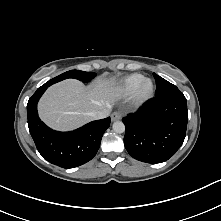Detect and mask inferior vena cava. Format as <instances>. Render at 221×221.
I'll return each mask as SVG.
<instances>
[{"label":"inferior vena cava","instance_id":"inferior-vena-cava-1","mask_svg":"<svg viewBox=\"0 0 221 221\" xmlns=\"http://www.w3.org/2000/svg\"><path fill=\"white\" fill-rule=\"evenodd\" d=\"M111 111V107L110 106H107L105 109L103 110H97V111H93L90 113V116L93 118V119H103V118H106L109 113Z\"/></svg>","mask_w":221,"mask_h":221}]
</instances>
